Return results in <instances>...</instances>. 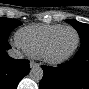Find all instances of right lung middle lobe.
<instances>
[{"label": "right lung middle lobe", "instance_id": "1", "mask_svg": "<svg viewBox=\"0 0 89 89\" xmlns=\"http://www.w3.org/2000/svg\"><path fill=\"white\" fill-rule=\"evenodd\" d=\"M21 24L22 23L19 20L1 17L0 18V41L8 40V36L10 32Z\"/></svg>", "mask_w": 89, "mask_h": 89}]
</instances>
